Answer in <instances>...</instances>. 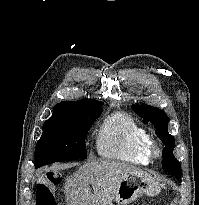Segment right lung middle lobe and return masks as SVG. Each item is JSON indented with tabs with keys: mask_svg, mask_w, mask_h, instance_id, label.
Wrapping results in <instances>:
<instances>
[{
	"mask_svg": "<svg viewBox=\"0 0 199 205\" xmlns=\"http://www.w3.org/2000/svg\"><path fill=\"white\" fill-rule=\"evenodd\" d=\"M103 103H75L54 108L43 125L35 148L36 168L58 161L85 159L88 130L102 112Z\"/></svg>",
	"mask_w": 199,
	"mask_h": 205,
	"instance_id": "obj_1",
	"label": "right lung middle lobe"
}]
</instances>
